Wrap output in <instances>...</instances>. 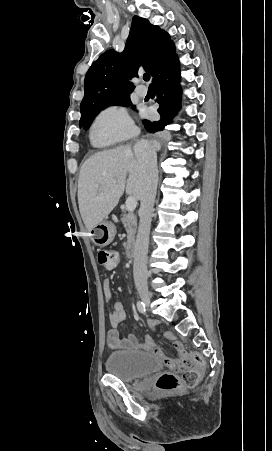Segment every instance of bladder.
Returning a JSON list of instances; mask_svg holds the SVG:
<instances>
[{"instance_id": "31cf9c89", "label": "bladder", "mask_w": 272, "mask_h": 451, "mask_svg": "<svg viewBox=\"0 0 272 451\" xmlns=\"http://www.w3.org/2000/svg\"><path fill=\"white\" fill-rule=\"evenodd\" d=\"M162 366L157 357L138 351L114 350L106 359L107 374L118 377L124 383L145 379Z\"/></svg>"}]
</instances>
